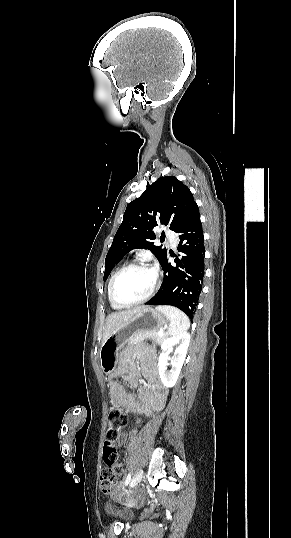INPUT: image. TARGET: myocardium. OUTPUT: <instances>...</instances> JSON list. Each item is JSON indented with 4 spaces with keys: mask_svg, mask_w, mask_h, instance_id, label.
<instances>
[{
    "mask_svg": "<svg viewBox=\"0 0 291 538\" xmlns=\"http://www.w3.org/2000/svg\"><path fill=\"white\" fill-rule=\"evenodd\" d=\"M134 269H144V270H148V271L152 272V274L154 276L153 285H152L150 291L144 297H142V298H140L138 300H135V301H131V302H119L117 300V298H116V295H115L116 283H117L118 279L124 273H126V272H128L130 270H134ZM158 286H159V275H158V272L153 267H151L150 265H148L147 263H144V262L130 263V264L124 266L122 269H120L115 274V276L113 277V279L111 281V284H110V299H111L112 303L117 307H130V306L142 304V303L148 301L154 295V293L156 292Z\"/></svg>",
    "mask_w": 291,
    "mask_h": 538,
    "instance_id": "obj_1",
    "label": "myocardium"
}]
</instances>
